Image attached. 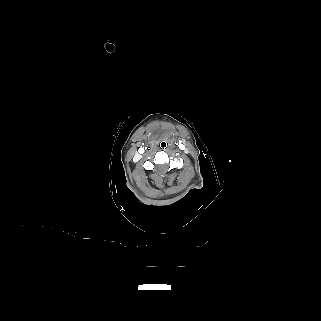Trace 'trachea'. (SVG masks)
<instances>
[{
    "mask_svg": "<svg viewBox=\"0 0 321 321\" xmlns=\"http://www.w3.org/2000/svg\"><path fill=\"white\" fill-rule=\"evenodd\" d=\"M159 146H160L161 148H164V147L166 146V143H165L164 141H161V142L159 143Z\"/></svg>",
    "mask_w": 321,
    "mask_h": 321,
    "instance_id": "trachea-1",
    "label": "trachea"
}]
</instances>
